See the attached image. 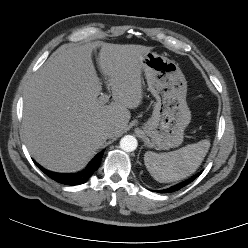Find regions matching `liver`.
I'll return each mask as SVG.
<instances>
[{
	"instance_id": "6515ba94",
	"label": "liver",
	"mask_w": 248,
	"mask_h": 248,
	"mask_svg": "<svg viewBox=\"0 0 248 248\" xmlns=\"http://www.w3.org/2000/svg\"><path fill=\"white\" fill-rule=\"evenodd\" d=\"M100 48L98 64L113 102L98 96L102 83L92 51ZM143 45L93 43L58 48L31 78L25 92L22 133L33 158L55 172H76L94 156L113 126L121 135L131 118L129 109L143 99Z\"/></svg>"
}]
</instances>
